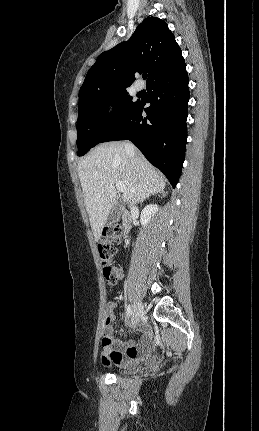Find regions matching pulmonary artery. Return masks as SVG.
Segmentation results:
<instances>
[{"label": "pulmonary artery", "instance_id": "e3ab8cb5", "mask_svg": "<svg viewBox=\"0 0 259 431\" xmlns=\"http://www.w3.org/2000/svg\"><path fill=\"white\" fill-rule=\"evenodd\" d=\"M135 88L137 91H141L143 89V84L141 82H136Z\"/></svg>", "mask_w": 259, "mask_h": 431}]
</instances>
